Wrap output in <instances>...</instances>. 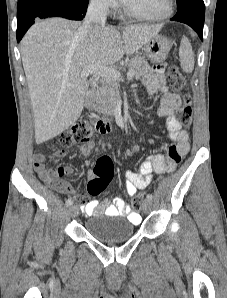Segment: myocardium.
Segmentation results:
<instances>
[{
  "label": "myocardium",
  "mask_w": 227,
  "mask_h": 298,
  "mask_svg": "<svg viewBox=\"0 0 227 298\" xmlns=\"http://www.w3.org/2000/svg\"><path fill=\"white\" fill-rule=\"evenodd\" d=\"M166 2H167V5H166L165 11L159 15L146 16V15L137 14L131 11L125 4L123 6V12L127 17L132 18L134 20L146 21V22H160L170 18L174 12V0H167Z\"/></svg>",
  "instance_id": "myocardium-1"
}]
</instances>
